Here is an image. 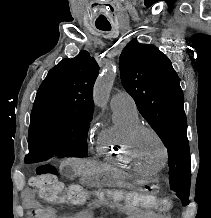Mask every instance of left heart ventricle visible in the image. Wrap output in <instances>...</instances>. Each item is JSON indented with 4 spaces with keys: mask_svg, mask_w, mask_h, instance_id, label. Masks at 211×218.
<instances>
[{
    "mask_svg": "<svg viewBox=\"0 0 211 218\" xmlns=\"http://www.w3.org/2000/svg\"><path fill=\"white\" fill-rule=\"evenodd\" d=\"M137 154L140 160L149 164L159 165L162 151L157 139L149 132H142L138 139Z\"/></svg>",
    "mask_w": 211,
    "mask_h": 218,
    "instance_id": "left-heart-ventricle-1",
    "label": "left heart ventricle"
}]
</instances>
